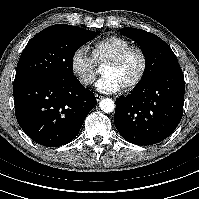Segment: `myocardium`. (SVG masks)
I'll list each match as a JSON object with an SVG mask.
<instances>
[{"mask_svg": "<svg viewBox=\"0 0 199 199\" xmlns=\"http://www.w3.org/2000/svg\"><path fill=\"white\" fill-rule=\"evenodd\" d=\"M132 51H137L140 54L141 69L139 73L137 74V76L132 81H130L129 83H127L126 85L122 87L126 91L136 88L143 81L146 75L147 68H148V58H147V54L145 50L139 45H130L126 47L125 49H123L121 52H119L112 60H110L104 66V68L106 67L115 68L119 66L123 62V60L127 57V55Z\"/></svg>", "mask_w": 199, "mask_h": 199, "instance_id": "1", "label": "myocardium"}]
</instances>
